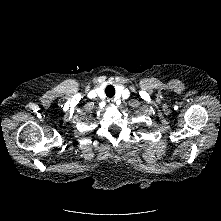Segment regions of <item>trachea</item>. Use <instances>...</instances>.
<instances>
[{"label": "trachea", "mask_w": 221, "mask_h": 221, "mask_svg": "<svg viewBox=\"0 0 221 221\" xmlns=\"http://www.w3.org/2000/svg\"><path fill=\"white\" fill-rule=\"evenodd\" d=\"M107 97H113L115 95V88L112 85H109L105 89Z\"/></svg>", "instance_id": "trachea-1"}]
</instances>
